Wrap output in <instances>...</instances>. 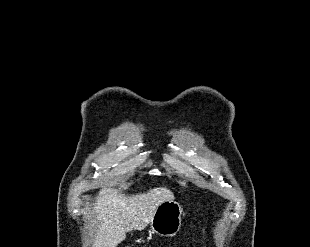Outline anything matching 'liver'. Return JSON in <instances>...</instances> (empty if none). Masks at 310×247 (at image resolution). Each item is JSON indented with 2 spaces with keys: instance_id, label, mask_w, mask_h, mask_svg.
Wrapping results in <instances>:
<instances>
[{
  "instance_id": "6515ba94",
  "label": "liver",
  "mask_w": 310,
  "mask_h": 247,
  "mask_svg": "<svg viewBox=\"0 0 310 247\" xmlns=\"http://www.w3.org/2000/svg\"><path fill=\"white\" fill-rule=\"evenodd\" d=\"M167 200H174V195L165 187L132 196L112 188L101 189L94 204L97 234L92 247L118 246L125 240L127 232L143 230L156 208Z\"/></svg>"
}]
</instances>
